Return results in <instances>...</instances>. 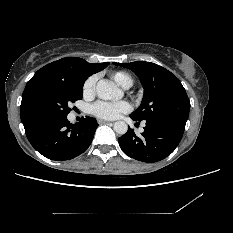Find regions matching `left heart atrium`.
<instances>
[{"label":"left heart atrium","mask_w":233,"mask_h":233,"mask_svg":"<svg viewBox=\"0 0 233 233\" xmlns=\"http://www.w3.org/2000/svg\"><path fill=\"white\" fill-rule=\"evenodd\" d=\"M130 110L131 105L124 100L117 102L97 101L91 106L92 114L105 120H114Z\"/></svg>","instance_id":"1"}]
</instances>
